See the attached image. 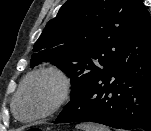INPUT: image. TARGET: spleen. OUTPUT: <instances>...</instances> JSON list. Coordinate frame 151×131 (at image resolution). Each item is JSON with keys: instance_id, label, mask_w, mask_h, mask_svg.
<instances>
[{"instance_id": "obj_1", "label": "spleen", "mask_w": 151, "mask_h": 131, "mask_svg": "<svg viewBox=\"0 0 151 131\" xmlns=\"http://www.w3.org/2000/svg\"><path fill=\"white\" fill-rule=\"evenodd\" d=\"M77 128L82 131H110L106 126L92 123L80 124L77 125Z\"/></svg>"}]
</instances>
